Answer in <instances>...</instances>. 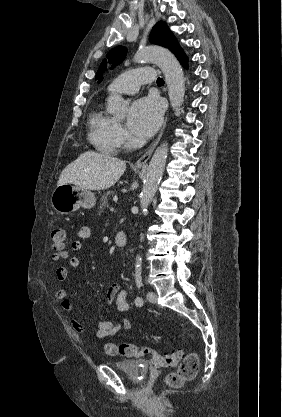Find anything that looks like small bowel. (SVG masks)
<instances>
[{
    "mask_svg": "<svg viewBox=\"0 0 282 417\" xmlns=\"http://www.w3.org/2000/svg\"><path fill=\"white\" fill-rule=\"evenodd\" d=\"M91 236V229L88 226H83L76 232L77 240L73 242L72 249L75 252H81L83 250V241L89 239ZM80 266V259L78 257H71L66 266H60L56 269V277L59 281H66L69 269H76ZM55 297L62 302V308L70 316V324L73 330L78 334L84 333L83 323L74 316L75 310L71 302L67 300L68 291L65 288L56 290ZM128 293L119 283H113L107 291V299L109 302L115 303L116 309L119 313H124L129 309ZM89 316L96 322V337L104 339L116 335L122 328L130 329V322L122 317H119L116 321L97 319L91 313Z\"/></svg>",
    "mask_w": 282,
    "mask_h": 417,
    "instance_id": "small-bowel-1",
    "label": "small bowel"
}]
</instances>
